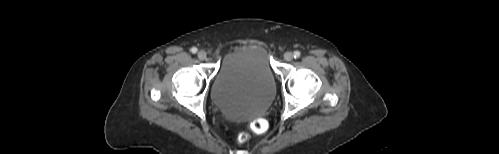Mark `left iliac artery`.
<instances>
[{
	"label": "left iliac artery",
	"mask_w": 499,
	"mask_h": 154,
	"mask_svg": "<svg viewBox=\"0 0 499 154\" xmlns=\"http://www.w3.org/2000/svg\"><path fill=\"white\" fill-rule=\"evenodd\" d=\"M300 57V52L299 51H295L294 52V58H299Z\"/></svg>",
	"instance_id": "obj_1"
}]
</instances>
